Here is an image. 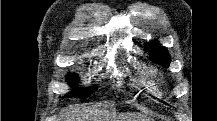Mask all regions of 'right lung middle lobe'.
I'll return each instance as SVG.
<instances>
[{"mask_svg": "<svg viewBox=\"0 0 217 121\" xmlns=\"http://www.w3.org/2000/svg\"><path fill=\"white\" fill-rule=\"evenodd\" d=\"M78 81V78L74 75V74H69L67 76V82H69L70 84H76ZM97 88L96 87H92L90 89H78L75 90L74 93H69L67 94L66 97H70L73 95H76L77 97H88L91 93H93Z\"/></svg>", "mask_w": 217, "mask_h": 121, "instance_id": "right-lung-middle-lobe-1", "label": "right lung middle lobe"}]
</instances>
